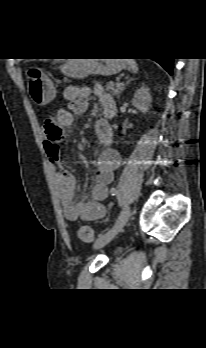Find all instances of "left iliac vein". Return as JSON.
I'll use <instances>...</instances> for the list:
<instances>
[{"label":"left iliac vein","instance_id":"4c4485c4","mask_svg":"<svg viewBox=\"0 0 206 348\" xmlns=\"http://www.w3.org/2000/svg\"><path fill=\"white\" fill-rule=\"evenodd\" d=\"M131 215V209L129 206H126L121 214L119 215L117 221L114 226L104 233L100 238L96 241L94 248L100 249L108 244L126 225Z\"/></svg>","mask_w":206,"mask_h":348}]
</instances>
